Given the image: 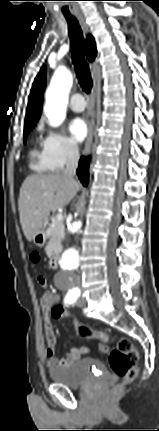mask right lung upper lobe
<instances>
[{
	"instance_id": "right-lung-upper-lobe-1",
	"label": "right lung upper lobe",
	"mask_w": 159,
	"mask_h": 431,
	"mask_svg": "<svg viewBox=\"0 0 159 431\" xmlns=\"http://www.w3.org/2000/svg\"><path fill=\"white\" fill-rule=\"evenodd\" d=\"M86 45L87 59L92 62L96 56V47L94 38L91 35L87 36ZM45 73L46 68L43 66L32 85V89L28 98V107L26 110L24 128L34 126L40 118L43 101V90L46 84Z\"/></svg>"
}]
</instances>
